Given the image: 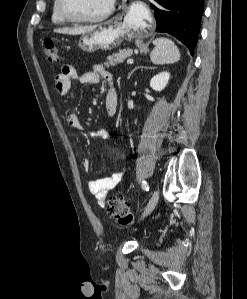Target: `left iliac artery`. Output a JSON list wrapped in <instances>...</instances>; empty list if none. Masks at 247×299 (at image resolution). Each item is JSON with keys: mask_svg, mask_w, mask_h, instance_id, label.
Wrapping results in <instances>:
<instances>
[{"mask_svg": "<svg viewBox=\"0 0 247 299\" xmlns=\"http://www.w3.org/2000/svg\"><path fill=\"white\" fill-rule=\"evenodd\" d=\"M142 188L145 190V191H149V185L146 181H143L142 182Z\"/></svg>", "mask_w": 247, "mask_h": 299, "instance_id": "44dca946", "label": "left iliac artery"}]
</instances>
